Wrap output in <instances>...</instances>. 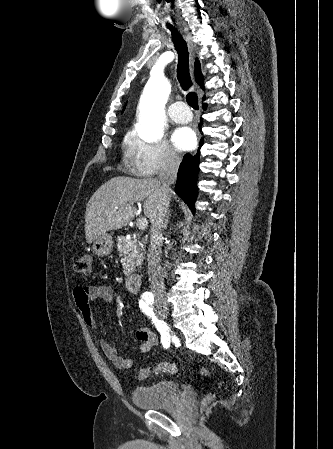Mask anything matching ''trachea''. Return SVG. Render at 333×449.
Wrapping results in <instances>:
<instances>
[{"label": "trachea", "instance_id": "1", "mask_svg": "<svg viewBox=\"0 0 333 449\" xmlns=\"http://www.w3.org/2000/svg\"><path fill=\"white\" fill-rule=\"evenodd\" d=\"M175 49L178 53L177 78L184 91H188L192 86L189 72V54L185 41L179 36L175 28L170 27ZM186 100L189 106L198 110V97L195 92H188Z\"/></svg>", "mask_w": 333, "mask_h": 449}]
</instances>
